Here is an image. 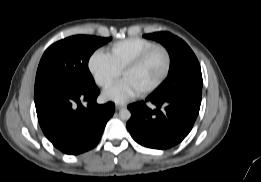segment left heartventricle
I'll return each mask as SVG.
<instances>
[{
  "label": "left heart ventricle",
  "instance_id": "b2bd125f",
  "mask_svg": "<svg viewBox=\"0 0 261 182\" xmlns=\"http://www.w3.org/2000/svg\"><path fill=\"white\" fill-rule=\"evenodd\" d=\"M166 59L162 51L153 52L138 68L123 75L140 91L154 84L163 74Z\"/></svg>",
  "mask_w": 261,
  "mask_h": 182
}]
</instances>
